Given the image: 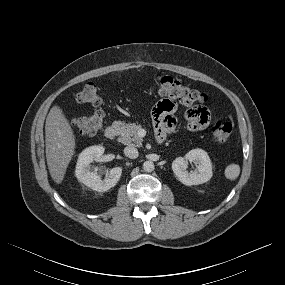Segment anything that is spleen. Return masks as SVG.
Instances as JSON below:
<instances>
[{
	"instance_id": "3e777b00",
	"label": "spleen",
	"mask_w": 285,
	"mask_h": 285,
	"mask_svg": "<svg viewBox=\"0 0 285 285\" xmlns=\"http://www.w3.org/2000/svg\"><path fill=\"white\" fill-rule=\"evenodd\" d=\"M225 177L229 180H235L240 174V167L237 164H230L225 169Z\"/></svg>"
}]
</instances>
